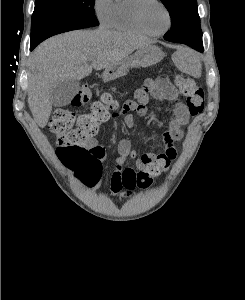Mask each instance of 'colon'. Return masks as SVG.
<instances>
[{
  "mask_svg": "<svg viewBox=\"0 0 245 300\" xmlns=\"http://www.w3.org/2000/svg\"><path fill=\"white\" fill-rule=\"evenodd\" d=\"M176 84L186 97L189 113L200 114L205 105V95L201 87L188 77L177 76ZM91 98V90L82 85L71 101L72 108L86 104ZM116 107L113 94L106 93L99 102L92 106L89 113L76 117L71 108H60L55 111L50 123L51 131L56 134V152L60 160L87 185L96 184L101 174V163L98 151L89 148L88 143L98 133L100 125L107 121L110 112ZM152 178L146 173H139L136 186L147 188Z\"/></svg>",
  "mask_w": 245,
  "mask_h": 300,
  "instance_id": "1",
  "label": "colon"
}]
</instances>
